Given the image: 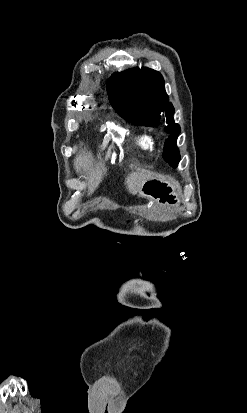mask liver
I'll use <instances>...</instances> for the list:
<instances>
[{"label": "liver", "instance_id": "1", "mask_svg": "<svg viewBox=\"0 0 247 413\" xmlns=\"http://www.w3.org/2000/svg\"><path fill=\"white\" fill-rule=\"evenodd\" d=\"M74 166L77 172L80 170H85V172H89L88 174V194L94 192L95 188L99 186V182L102 180V176L104 174V170L99 168V166H95V168H91L93 166V156L91 152H85V150H81L80 154H77L74 160ZM158 174L156 172H152V170H146V168H139L136 172H130L129 176L125 178V184H127V188L131 194H137L140 192L141 186L145 180H149V178H156Z\"/></svg>", "mask_w": 247, "mask_h": 413}]
</instances>
